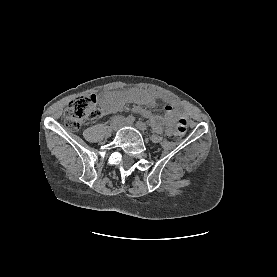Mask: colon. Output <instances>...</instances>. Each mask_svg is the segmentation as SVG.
I'll return each mask as SVG.
<instances>
[{"mask_svg": "<svg viewBox=\"0 0 277 277\" xmlns=\"http://www.w3.org/2000/svg\"><path fill=\"white\" fill-rule=\"evenodd\" d=\"M99 115L97 99L94 95H81L73 99L64 113V122L72 130L79 129L86 121ZM188 130L186 119H179L174 126V137L182 138Z\"/></svg>", "mask_w": 277, "mask_h": 277, "instance_id": "1", "label": "colon"}]
</instances>
